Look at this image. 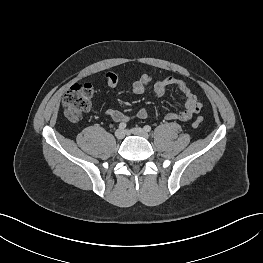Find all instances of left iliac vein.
Segmentation results:
<instances>
[{
    "label": "left iliac vein",
    "mask_w": 263,
    "mask_h": 263,
    "mask_svg": "<svg viewBox=\"0 0 263 263\" xmlns=\"http://www.w3.org/2000/svg\"><path fill=\"white\" fill-rule=\"evenodd\" d=\"M131 133L134 135H138L144 138H148L149 134L147 131H145L144 129L140 128V127H134L131 129Z\"/></svg>",
    "instance_id": "left-iliac-vein-1"
}]
</instances>
